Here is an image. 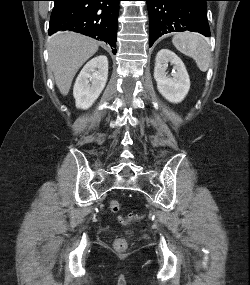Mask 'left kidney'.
<instances>
[{"label":"left kidney","mask_w":250,"mask_h":285,"mask_svg":"<svg viewBox=\"0 0 250 285\" xmlns=\"http://www.w3.org/2000/svg\"><path fill=\"white\" fill-rule=\"evenodd\" d=\"M176 70L167 75L168 63ZM154 78L160 94L171 103H180L190 89V79L182 60L169 49H161L155 59Z\"/></svg>","instance_id":"left-kidney-1"}]
</instances>
